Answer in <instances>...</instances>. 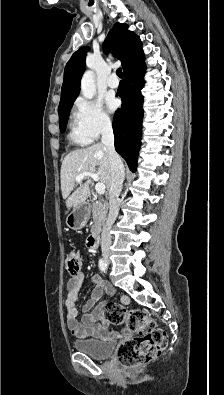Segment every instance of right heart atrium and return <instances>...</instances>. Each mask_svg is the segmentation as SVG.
Listing matches in <instances>:
<instances>
[{
	"mask_svg": "<svg viewBox=\"0 0 224 395\" xmlns=\"http://www.w3.org/2000/svg\"><path fill=\"white\" fill-rule=\"evenodd\" d=\"M73 118L80 133L91 140L112 128V119L98 101L78 98L73 106Z\"/></svg>",
	"mask_w": 224,
	"mask_h": 395,
	"instance_id": "right-heart-atrium-1",
	"label": "right heart atrium"
}]
</instances>
